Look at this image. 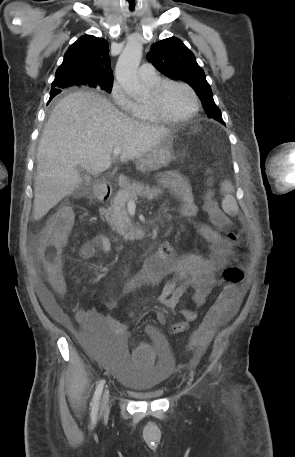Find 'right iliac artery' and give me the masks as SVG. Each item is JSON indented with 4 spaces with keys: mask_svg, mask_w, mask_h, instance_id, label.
Returning <instances> with one entry per match:
<instances>
[{
    "mask_svg": "<svg viewBox=\"0 0 295 457\" xmlns=\"http://www.w3.org/2000/svg\"><path fill=\"white\" fill-rule=\"evenodd\" d=\"M104 384H105V380H101L95 390V393H94V396L92 399V403H91V405H92L91 415L92 416H95L98 412L99 399H100Z\"/></svg>",
    "mask_w": 295,
    "mask_h": 457,
    "instance_id": "obj_1",
    "label": "right iliac artery"
}]
</instances>
